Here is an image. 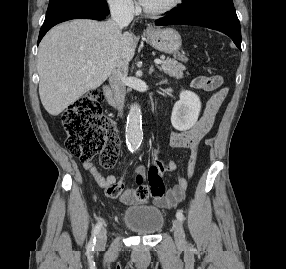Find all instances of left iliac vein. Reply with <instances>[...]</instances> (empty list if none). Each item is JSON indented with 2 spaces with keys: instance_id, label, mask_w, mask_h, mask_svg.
I'll list each match as a JSON object with an SVG mask.
<instances>
[{
  "instance_id": "4c4485c4",
  "label": "left iliac vein",
  "mask_w": 286,
  "mask_h": 269,
  "mask_svg": "<svg viewBox=\"0 0 286 269\" xmlns=\"http://www.w3.org/2000/svg\"><path fill=\"white\" fill-rule=\"evenodd\" d=\"M173 231H174V237L177 245L183 246L186 244L185 240V232L183 229V226L181 222L178 219H175L173 221Z\"/></svg>"
}]
</instances>
